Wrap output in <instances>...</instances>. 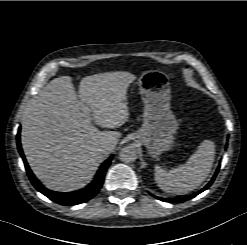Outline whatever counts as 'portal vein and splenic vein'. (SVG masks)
<instances>
[{
    "label": "portal vein and splenic vein",
    "mask_w": 247,
    "mask_h": 245,
    "mask_svg": "<svg viewBox=\"0 0 247 245\" xmlns=\"http://www.w3.org/2000/svg\"><path fill=\"white\" fill-rule=\"evenodd\" d=\"M86 115H87V117H88V120H90V117H89V116H90V114H89V113H86Z\"/></svg>",
    "instance_id": "1"
}]
</instances>
